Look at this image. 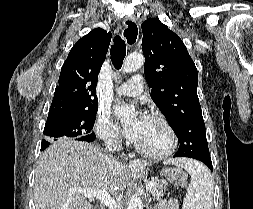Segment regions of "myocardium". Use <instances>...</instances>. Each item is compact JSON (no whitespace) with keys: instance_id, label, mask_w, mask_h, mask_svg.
<instances>
[{"instance_id":"f54148a6","label":"myocardium","mask_w":253,"mask_h":209,"mask_svg":"<svg viewBox=\"0 0 253 209\" xmlns=\"http://www.w3.org/2000/svg\"><path fill=\"white\" fill-rule=\"evenodd\" d=\"M150 118H153L159 121L168 131L169 134V146L161 151V152H149L140 147L137 143L134 144L135 150L142 156L153 159V160H161L168 156H170L177 148L178 138L175 129L171 125V123L162 115L160 114H152Z\"/></svg>"}]
</instances>
